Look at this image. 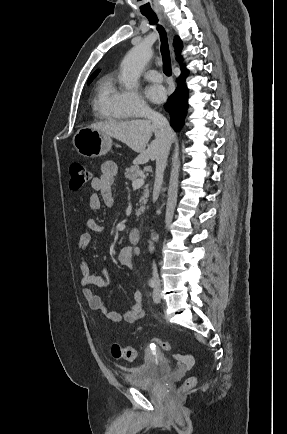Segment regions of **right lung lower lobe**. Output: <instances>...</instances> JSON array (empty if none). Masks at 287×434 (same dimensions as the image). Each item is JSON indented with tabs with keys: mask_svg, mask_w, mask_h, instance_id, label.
Listing matches in <instances>:
<instances>
[{
	"mask_svg": "<svg viewBox=\"0 0 287 434\" xmlns=\"http://www.w3.org/2000/svg\"><path fill=\"white\" fill-rule=\"evenodd\" d=\"M181 71L182 73L177 79V88L164 105L165 110L170 114L171 126L175 130H180L183 127L188 108V89L185 84L188 70L181 65Z\"/></svg>",
	"mask_w": 287,
	"mask_h": 434,
	"instance_id": "right-lung-lower-lobe-1",
	"label": "right lung lower lobe"
}]
</instances>
